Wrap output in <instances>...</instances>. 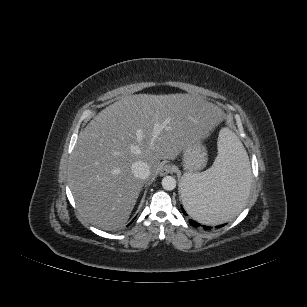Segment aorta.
Wrapping results in <instances>:
<instances>
[{"mask_svg": "<svg viewBox=\"0 0 307 307\" xmlns=\"http://www.w3.org/2000/svg\"><path fill=\"white\" fill-rule=\"evenodd\" d=\"M162 187L167 191H172L176 188V179L172 176H165L162 179Z\"/></svg>", "mask_w": 307, "mask_h": 307, "instance_id": "aorta-1", "label": "aorta"}]
</instances>
